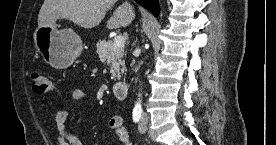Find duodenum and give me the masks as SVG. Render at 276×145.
<instances>
[{
	"label": "duodenum",
	"instance_id": "obj_1",
	"mask_svg": "<svg viewBox=\"0 0 276 145\" xmlns=\"http://www.w3.org/2000/svg\"><path fill=\"white\" fill-rule=\"evenodd\" d=\"M113 95L118 100H125L128 96V85L124 81L116 82L112 88Z\"/></svg>",
	"mask_w": 276,
	"mask_h": 145
}]
</instances>
